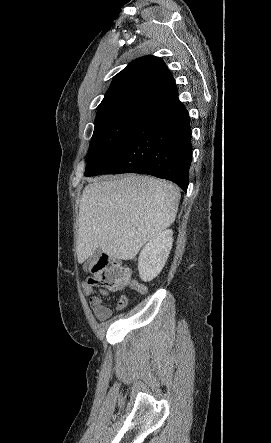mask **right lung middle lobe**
<instances>
[{"instance_id":"1","label":"right lung middle lobe","mask_w":271,"mask_h":443,"mask_svg":"<svg viewBox=\"0 0 271 443\" xmlns=\"http://www.w3.org/2000/svg\"><path fill=\"white\" fill-rule=\"evenodd\" d=\"M152 105L141 100H124L98 107L85 176L109 161L128 131Z\"/></svg>"}]
</instances>
